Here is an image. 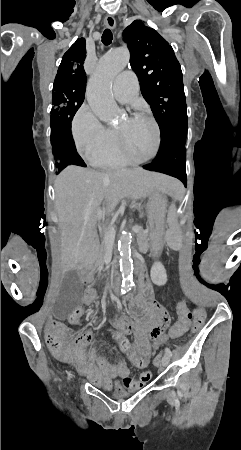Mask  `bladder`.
<instances>
[{"label": "bladder", "instance_id": "1", "mask_svg": "<svg viewBox=\"0 0 241 450\" xmlns=\"http://www.w3.org/2000/svg\"><path fill=\"white\" fill-rule=\"evenodd\" d=\"M129 394L130 393L128 391L124 390V389H115L114 392H113V396L118 398V399H122V398L128 397Z\"/></svg>", "mask_w": 241, "mask_h": 450}]
</instances>
